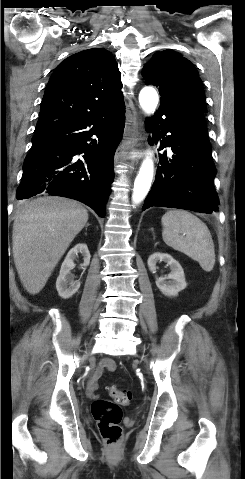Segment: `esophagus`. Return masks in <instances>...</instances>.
Instances as JSON below:
<instances>
[{
	"instance_id": "obj_1",
	"label": "esophagus",
	"mask_w": 245,
	"mask_h": 479,
	"mask_svg": "<svg viewBox=\"0 0 245 479\" xmlns=\"http://www.w3.org/2000/svg\"><path fill=\"white\" fill-rule=\"evenodd\" d=\"M140 122L134 117L133 115L129 118V126H128V140L125 142L123 149L130 154L136 153V151L140 148L141 144L140 141L141 133H140ZM121 159V151H117L115 156V162H118Z\"/></svg>"
}]
</instances>
